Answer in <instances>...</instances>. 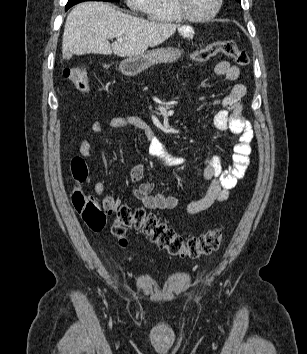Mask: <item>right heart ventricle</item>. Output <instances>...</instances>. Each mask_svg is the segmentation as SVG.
<instances>
[{"label": "right heart ventricle", "mask_w": 307, "mask_h": 354, "mask_svg": "<svg viewBox=\"0 0 307 354\" xmlns=\"http://www.w3.org/2000/svg\"><path fill=\"white\" fill-rule=\"evenodd\" d=\"M144 12L148 19L154 22L168 23L182 20L172 0H148Z\"/></svg>", "instance_id": "obj_1"}]
</instances>
